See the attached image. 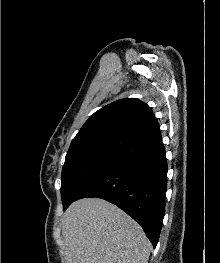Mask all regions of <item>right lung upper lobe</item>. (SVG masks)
<instances>
[{
    "instance_id": "1",
    "label": "right lung upper lobe",
    "mask_w": 220,
    "mask_h": 263,
    "mask_svg": "<svg viewBox=\"0 0 220 263\" xmlns=\"http://www.w3.org/2000/svg\"><path fill=\"white\" fill-rule=\"evenodd\" d=\"M160 134L152 109L135 98L115 101L89 117L72 140L68 152L109 148L123 150Z\"/></svg>"
}]
</instances>
